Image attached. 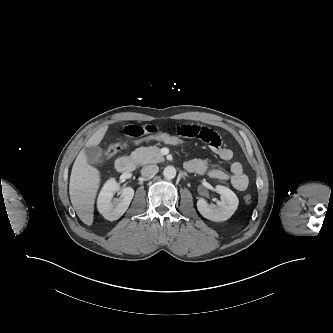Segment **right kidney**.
Masks as SVG:
<instances>
[{
	"instance_id": "obj_1",
	"label": "right kidney",
	"mask_w": 333,
	"mask_h": 333,
	"mask_svg": "<svg viewBox=\"0 0 333 333\" xmlns=\"http://www.w3.org/2000/svg\"><path fill=\"white\" fill-rule=\"evenodd\" d=\"M120 197L113 199L116 192ZM134 196L131 187H120L114 178L109 179L103 186L97 201L98 211L109 221L119 219L128 209Z\"/></svg>"
}]
</instances>
